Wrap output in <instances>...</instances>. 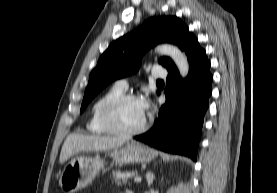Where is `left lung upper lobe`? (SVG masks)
<instances>
[{
  "label": "left lung upper lobe",
  "mask_w": 277,
  "mask_h": 193,
  "mask_svg": "<svg viewBox=\"0 0 277 193\" xmlns=\"http://www.w3.org/2000/svg\"><path fill=\"white\" fill-rule=\"evenodd\" d=\"M193 37L179 18L162 16L148 19L135 31L114 41L102 54L89 77L80 112L110 82L136 72L143 54L152 46L169 42L184 50ZM159 63L166 68L174 65L168 57H162Z\"/></svg>",
  "instance_id": "1"
}]
</instances>
